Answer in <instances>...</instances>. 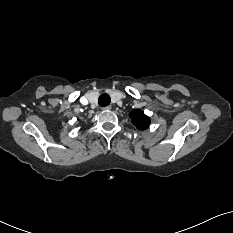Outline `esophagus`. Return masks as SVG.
Returning <instances> with one entry per match:
<instances>
[{"instance_id":"esophagus-1","label":"esophagus","mask_w":233,"mask_h":233,"mask_svg":"<svg viewBox=\"0 0 233 233\" xmlns=\"http://www.w3.org/2000/svg\"><path fill=\"white\" fill-rule=\"evenodd\" d=\"M110 109H111V106H105V107L102 108V110H104V111H107V110H110Z\"/></svg>"}]
</instances>
